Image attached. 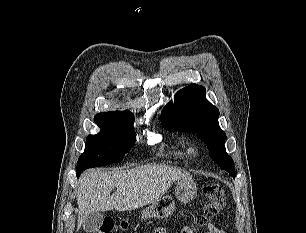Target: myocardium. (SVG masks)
Segmentation results:
<instances>
[{
  "label": "myocardium",
  "instance_id": "f54148a6",
  "mask_svg": "<svg viewBox=\"0 0 306 233\" xmlns=\"http://www.w3.org/2000/svg\"><path fill=\"white\" fill-rule=\"evenodd\" d=\"M188 150H189V152H190L191 154H196V153L198 152V146H197V144H195V143L190 144Z\"/></svg>",
  "mask_w": 306,
  "mask_h": 233
}]
</instances>
